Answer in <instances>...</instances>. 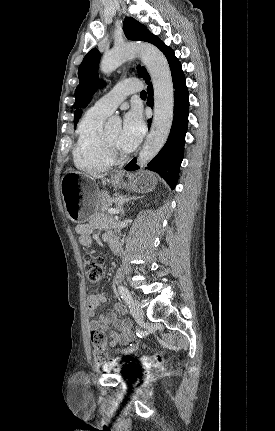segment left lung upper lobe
<instances>
[{"label": "left lung upper lobe", "mask_w": 275, "mask_h": 431, "mask_svg": "<svg viewBox=\"0 0 275 431\" xmlns=\"http://www.w3.org/2000/svg\"><path fill=\"white\" fill-rule=\"evenodd\" d=\"M123 30L128 39L135 41H147L157 46L164 54L170 48L166 46L157 36L150 33L147 28L131 17H127L123 23ZM101 54L97 49H92L86 54L78 69L79 85L75 91L74 108H84L90 102L92 95L98 87H103L104 82L99 79L98 66ZM138 75L145 81L150 79L144 67H137ZM81 115V109L75 112L74 125L76 126L78 118Z\"/></svg>", "instance_id": "5c2ea615"}]
</instances>
